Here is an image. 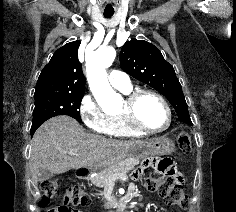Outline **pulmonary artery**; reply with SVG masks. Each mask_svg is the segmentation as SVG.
Listing matches in <instances>:
<instances>
[{
	"label": "pulmonary artery",
	"mask_w": 236,
	"mask_h": 212,
	"mask_svg": "<svg viewBox=\"0 0 236 212\" xmlns=\"http://www.w3.org/2000/svg\"><path fill=\"white\" fill-rule=\"evenodd\" d=\"M111 86L117 89H125L131 86L129 76L118 70H111L108 77Z\"/></svg>",
	"instance_id": "1"
}]
</instances>
